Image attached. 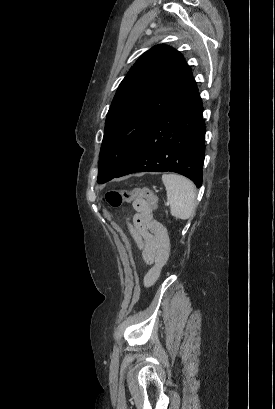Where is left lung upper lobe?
Masks as SVG:
<instances>
[{
    "mask_svg": "<svg viewBox=\"0 0 275 409\" xmlns=\"http://www.w3.org/2000/svg\"><path fill=\"white\" fill-rule=\"evenodd\" d=\"M196 88L190 67L175 49L161 44L140 56L108 111L97 182L113 179L152 125Z\"/></svg>",
    "mask_w": 275,
    "mask_h": 409,
    "instance_id": "5c2ea615",
    "label": "left lung upper lobe"
}]
</instances>
